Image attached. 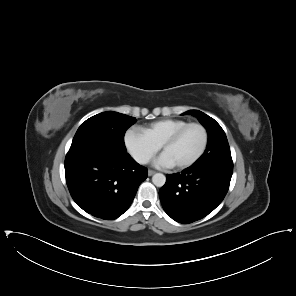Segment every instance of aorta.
Returning <instances> with one entry per match:
<instances>
[{"mask_svg":"<svg viewBox=\"0 0 296 296\" xmlns=\"http://www.w3.org/2000/svg\"><path fill=\"white\" fill-rule=\"evenodd\" d=\"M152 182L155 186L162 187L166 182V177L162 173H156L152 176Z\"/></svg>","mask_w":296,"mask_h":296,"instance_id":"aorta-1","label":"aorta"}]
</instances>
